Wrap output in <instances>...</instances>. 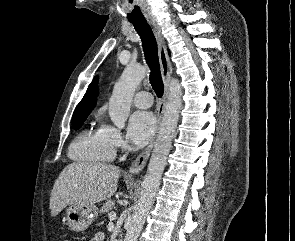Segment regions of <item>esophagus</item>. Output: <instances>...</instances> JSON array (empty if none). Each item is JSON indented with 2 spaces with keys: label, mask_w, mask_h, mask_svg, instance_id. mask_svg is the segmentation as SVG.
I'll return each mask as SVG.
<instances>
[{
  "label": "esophagus",
  "mask_w": 295,
  "mask_h": 241,
  "mask_svg": "<svg viewBox=\"0 0 295 241\" xmlns=\"http://www.w3.org/2000/svg\"><path fill=\"white\" fill-rule=\"evenodd\" d=\"M147 21L149 25L152 27L153 33L157 40L159 62H160L161 73H162V78L164 82V95L157 107V128H159L164 111H165L168 95H169L170 78L172 74V64L167 53L165 40L162 36L160 26L158 25L156 20L153 18H150ZM154 143H155V137L152 139L150 144L134 160V162L132 163V165L130 166L128 170L129 176L139 174L144 169L149 159Z\"/></svg>",
  "instance_id": "34e87169"
}]
</instances>
